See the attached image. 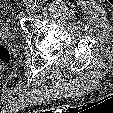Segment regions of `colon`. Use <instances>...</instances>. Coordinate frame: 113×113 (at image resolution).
Wrapping results in <instances>:
<instances>
[{
  "mask_svg": "<svg viewBox=\"0 0 113 113\" xmlns=\"http://www.w3.org/2000/svg\"><path fill=\"white\" fill-rule=\"evenodd\" d=\"M11 52L8 48L0 45V69L11 62Z\"/></svg>",
  "mask_w": 113,
  "mask_h": 113,
  "instance_id": "obj_1",
  "label": "colon"
}]
</instances>
